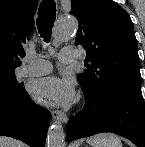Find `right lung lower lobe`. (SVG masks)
I'll return each instance as SVG.
<instances>
[{
    "label": "right lung lower lobe",
    "instance_id": "1",
    "mask_svg": "<svg viewBox=\"0 0 145 147\" xmlns=\"http://www.w3.org/2000/svg\"><path fill=\"white\" fill-rule=\"evenodd\" d=\"M49 123V111L36 105L27 92L17 101L0 102V136L43 147Z\"/></svg>",
    "mask_w": 145,
    "mask_h": 147
}]
</instances>
